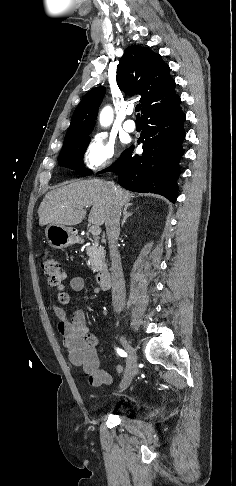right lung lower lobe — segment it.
<instances>
[{
    "instance_id": "obj_1",
    "label": "right lung lower lobe",
    "mask_w": 236,
    "mask_h": 486,
    "mask_svg": "<svg viewBox=\"0 0 236 486\" xmlns=\"http://www.w3.org/2000/svg\"><path fill=\"white\" fill-rule=\"evenodd\" d=\"M180 97L174 93L142 111L144 123L139 143L142 155L133 156L134 146L126 149L107 170L119 175L122 187L135 192H150L175 202L176 178L185 131V114L180 109Z\"/></svg>"
}]
</instances>
